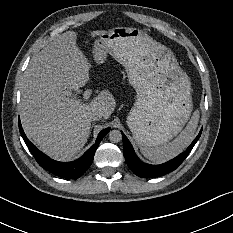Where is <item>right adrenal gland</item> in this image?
<instances>
[{
  "label": "right adrenal gland",
  "mask_w": 233,
  "mask_h": 233,
  "mask_svg": "<svg viewBox=\"0 0 233 233\" xmlns=\"http://www.w3.org/2000/svg\"><path fill=\"white\" fill-rule=\"evenodd\" d=\"M93 126H94V124H92V126L90 127V128H91V130H92Z\"/></svg>",
  "instance_id": "2a0ac1e0"
}]
</instances>
